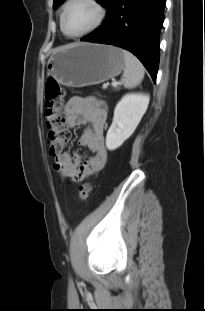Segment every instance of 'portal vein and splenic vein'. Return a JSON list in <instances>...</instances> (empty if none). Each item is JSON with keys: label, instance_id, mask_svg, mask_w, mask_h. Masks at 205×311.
Here are the masks:
<instances>
[{"label": "portal vein and splenic vein", "instance_id": "obj_1", "mask_svg": "<svg viewBox=\"0 0 205 311\" xmlns=\"http://www.w3.org/2000/svg\"><path fill=\"white\" fill-rule=\"evenodd\" d=\"M119 83H117V82H112V85L113 86H117Z\"/></svg>", "mask_w": 205, "mask_h": 311}]
</instances>
